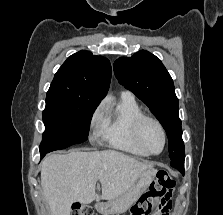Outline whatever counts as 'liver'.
I'll return each mask as SVG.
<instances>
[{"instance_id":"1","label":"liver","mask_w":223,"mask_h":215,"mask_svg":"<svg viewBox=\"0 0 223 215\" xmlns=\"http://www.w3.org/2000/svg\"><path fill=\"white\" fill-rule=\"evenodd\" d=\"M149 167V161L142 163L114 149L52 153L42 163L41 185L52 215H71L73 201L116 199ZM96 181L102 185L101 195L96 193Z\"/></svg>"}]
</instances>
